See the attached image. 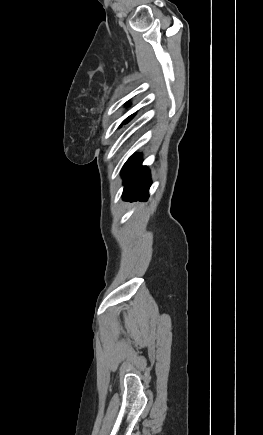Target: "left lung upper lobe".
Wrapping results in <instances>:
<instances>
[{"label": "left lung upper lobe", "instance_id": "1", "mask_svg": "<svg viewBox=\"0 0 263 435\" xmlns=\"http://www.w3.org/2000/svg\"><path fill=\"white\" fill-rule=\"evenodd\" d=\"M132 117H133V115L129 116L127 119H125V120L123 121V123H127L128 121H130V120L132 119Z\"/></svg>", "mask_w": 263, "mask_h": 435}]
</instances>
